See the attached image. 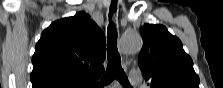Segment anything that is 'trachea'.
Listing matches in <instances>:
<instances>
[{
    "label": "trachea",
    "mask_w": 223,
    "mask_h": 88,
    "mask_svg": "<svg viewBox=\"0 0 223 88\" xmlns=\"http://www.w3.org/2000/svg\"><path fill=\"white\" fill-rule=\"evenodd\" d=\"M117 1L113 0L109 12V26L107 32V56L108 65L106 72L101 80L104 86L109 85L114 79H117L123 86L129 87V81L121 67V58L117 49V31L115 24L111 21L113 13L117 10Z\"/></svg>",
    "instance_id": "trachea-1"
}]
</instances>
